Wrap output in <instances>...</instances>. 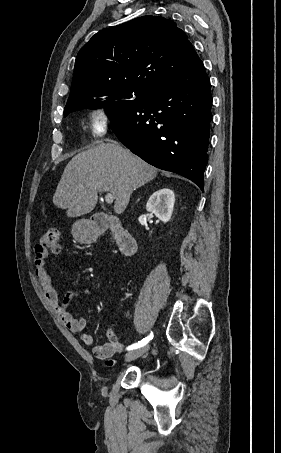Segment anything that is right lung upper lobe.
<instances>
[{"mask_svg": "<svg viewBox=\"0 0 281 453\" xmlns=\"http://www.w3.org/2000/svg\"><path fill=\"white\" fill-rule=\"evenodd\" d=\"M198 58L185 32L164 17L142 16L99 31L77 55L64 115L128 101Z\"/></svg>", "mask_w": 281, "mask_h": 453, "instance_id": "right-lung-upper-lobe-1", "label": "right lung upper lobe"}]
</instances>
